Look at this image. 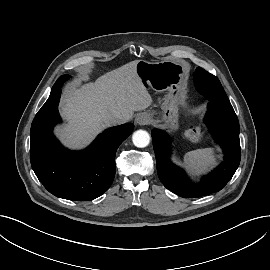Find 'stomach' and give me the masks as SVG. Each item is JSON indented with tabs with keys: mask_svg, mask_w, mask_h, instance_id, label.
<instances>
[{
	"mask_svg": "<svg viewBox=\"0 0 270 270\" xmlns=\"http://www.w3.org/2000/svg\"><path fill=\"white\" fill-rule=\"evenodd\" d=\"M136 73L144 85L162 94L157 123L170 130L178 129L179 107L183 102L188 65L181 61L148 62L139 60Z\"/></svg>",
	"mask_w": 270,
	"mask_h": 270,
	"instance_id": "obj_1",
	"label": "stomach"
}]
</instances>
